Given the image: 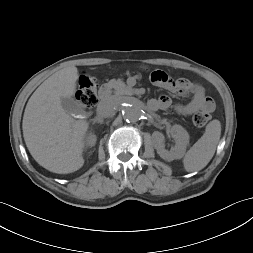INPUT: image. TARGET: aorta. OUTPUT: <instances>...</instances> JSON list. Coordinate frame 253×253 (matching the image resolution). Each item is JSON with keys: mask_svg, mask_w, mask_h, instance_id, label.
I'll return each mask as SVG.
<instances>
[{"mask_svg": "<svg viewBox=\"0 0 253 253\" xmlns=\"http://www.w3.org/2000/svg\"><path fill=\"white\" fill-rule=\"evenodd\" d=\"M123 118L130 122L138 121L143 115V110L140 104L132 102L126 104L123 109Z\"/></svg>", "mask_w": 253, "mask_h": 253, "instance_id": "762f6f07", "label": "aorta"}]
</instances>
